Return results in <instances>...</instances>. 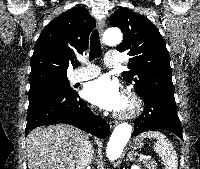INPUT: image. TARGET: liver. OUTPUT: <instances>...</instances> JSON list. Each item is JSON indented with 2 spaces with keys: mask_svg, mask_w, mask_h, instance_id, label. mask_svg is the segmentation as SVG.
I'll use <instances>...</instances> for the list:
<instances>
[{
  "mask_svg": "<svg viewBox=\"0 0 200 169\" xmlns=\"http://www.w3.org/2000/svg\"><path fill=\"white\" fill-rule=\"evenodd\" d=\"M86 140L88 135L71 125L36 128L26 138L28 169H75Z\"/></svg>",
  "mask_w": 200,
  "mask_h": 169,
  "instance_id": "liver-1",
  "label": "liver"
}]
</instances>
